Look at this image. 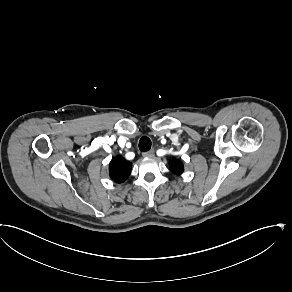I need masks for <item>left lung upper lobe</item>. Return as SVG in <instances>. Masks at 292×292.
Instances as JSON below:
<instances>
[{
	"instance_id": "obj_1",
	"label": "left lung upper lobe",
	"mask_w": 292,
	"mask_h": 292,
	"mask_svg": "<svg viewBox=\"0 0 292 292\" xmlns=\"http://www.w3.org/2000/svg\"><path fill=\"white\" fill-rule=\"evenodd\" d=\"M169 166H170V169L171 171L176 174V175H180L183 173L184 171V166H183V163L176 159V158H173L170 162H169Z\"/></svg>"
}]
</instances>
